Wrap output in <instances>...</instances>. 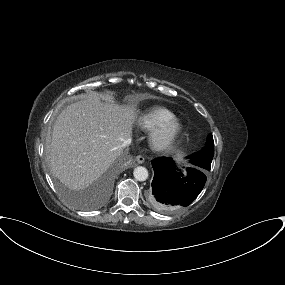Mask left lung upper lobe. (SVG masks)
I'll use <instances>...</instances> for the list:
<instances>
[{"label": "left lung upper lobe", "mask_w": 285, "mask_h": 285, "mask_svg": "<svg viewBox=\"0 0 285 285\" xmlns=\"http://www.w3.org/2000/svg\"><path fill=\"white\" fill-rule=\"evenodd\" d=\"M214 156V142L211 134L208 135L205 147L200 151L188 156L192 164H195L203 169L210 170L211 162Z\"/></svg>", "instance_id": "1"}]
</instances>
